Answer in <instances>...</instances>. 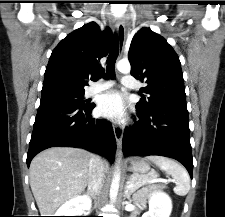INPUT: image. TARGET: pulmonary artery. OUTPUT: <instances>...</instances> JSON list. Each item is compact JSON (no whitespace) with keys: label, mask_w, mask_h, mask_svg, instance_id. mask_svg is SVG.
<instances>
[{"label":"pulmonary artery","mask_w":225,"mask_h":217,"mask_svg":"<svg viewBox=\"0 0 225 217\" xmlns=\"http://www.w3.org/2000/svg\"><path fill=\"white\" fill-rule=\"evenodd\" d=\"M122 83L126 87H129V88H134L135 87V82L130 77H124L123 80H122ZM112 85H113V82H111V81H103L101 83L93 84V85H91L88 88V90L86 92V95L87 96H92V95H94L96 93H99L101 91L109 89L110 87H112Z\"/></svg>","instance_id":"obj_1"}]
</instances>
